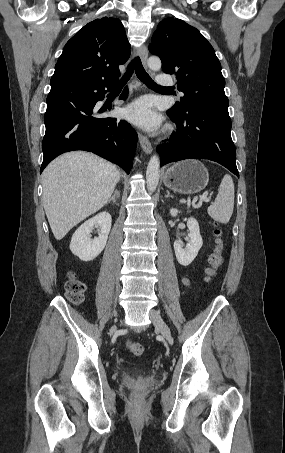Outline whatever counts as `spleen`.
<instances>
[{"instance_id":"3e777b00","label":"spleen","mask_w":285,"mask_h":453,"mask_svg":"<svg viewBox=\"0 0 285 453\" xmlns=\"http://www.w3.org/2000/svg\"><path fill=\"white\" fill-rule=\"evenodd\" d=\"M234 183L229 174H225L218 188L214 203L208 207V215L217 222L227 224L234 209Z\"/></svg>"}]
</instances>
